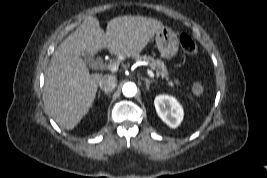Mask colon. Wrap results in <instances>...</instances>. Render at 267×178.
I'll return each instance as SVG.
<instances>
[{"instance_id": "1", "label": "colon", "mask_w": 267, "mask_h": 178, "mask_svg": "<svg viewBox=\"0 0 267 178\" xmlns=\"http://www.w3.org/2000/svg\"><path fill=\"white\" fill-rule=\"evenodd\" d=\"M180 41L185 53L189 55H194L197 53V45L189 36L182 35Z\"/></svg>"}]
</instances>
